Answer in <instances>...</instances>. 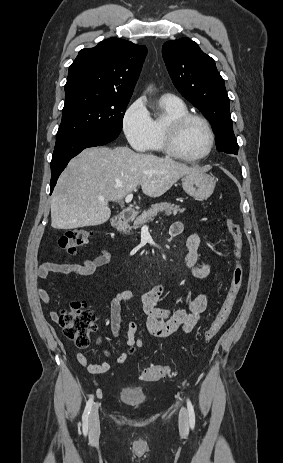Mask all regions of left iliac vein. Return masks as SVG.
<instances>
[{"label":"left iliac vein","instance_id":"1","mask_svg":"<svg viewBox=\"0 0 283 463\" xmlns=\"http://www.w3.org/2000/svg\"><path fill=\"white\" fill-rule=\"evenodd\" d=\"M179 426L183 431L188 429V413L185 407H182L179 412Z\"/></svg>","mask_w":283,"mask_h":463}]
</instances>
